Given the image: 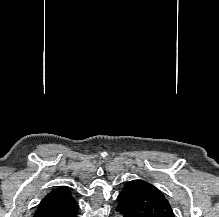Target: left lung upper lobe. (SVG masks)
I'll return each mask as SVG.
<instances>
[{"label":"left lung upper lobe","instance_id":"1","mask_svg":"<svg viewBox=\"0 0 219 217\" xmlns=\"http://www.w3.org/2000/svg\"><path fill=\"white\" fill-rule=\"evenodd\" d=\"M117 199L127 217H175L160 190L143 180L128 182Z\"/></svg>","mask_w":219,"mask_h":217}]
</instances>
